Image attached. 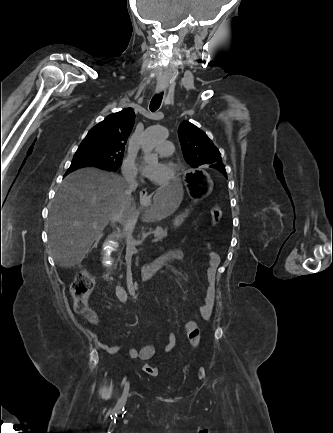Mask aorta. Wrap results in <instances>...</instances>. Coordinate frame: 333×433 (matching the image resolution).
Wrapping results in <instances>:
<instances>
[{
  "label": "aorta",
  "instance_id": "762f6f07",
  "mask_svg": "<svg viewBox=\"0 0 333 433\" xmlns=\"http://www.w3.org/2000/svg\"><path fill=\"white\" fill-rule=\"evenodd\" d=\"M168 137V130L162 126H152L144 131L142 144L144 163L156 164L158 162V157L152 154V149L156 144L166 141ZM134 227L135 222L129 220L126 227V259L132 258L136 251V240L132 235Z\"/></svg>",
  "mask_w": 333,
  "mask_h": 433
}]
</instances>
